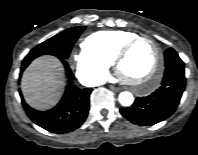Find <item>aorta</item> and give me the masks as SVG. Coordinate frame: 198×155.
<instances>
[{
	"label": "aorta",
	"mask_w": 198,
	"mask_h": 155,
	"mask_svg": "<svg viewBox=\"0 0 198 155\" xmlns=\"http://www.w3.org/2000/svg\"><path fill=\"white\" fill-rule=\"evenodd\" d=\"M133 101L134 97L130 92L124 91L119 94V102L122 106L128 107L133 103Z\"/></svg>",
	"instance_id": "obj_1"
}]
</instances>
